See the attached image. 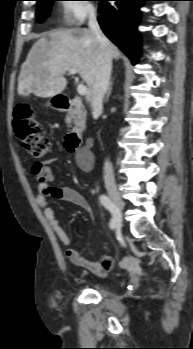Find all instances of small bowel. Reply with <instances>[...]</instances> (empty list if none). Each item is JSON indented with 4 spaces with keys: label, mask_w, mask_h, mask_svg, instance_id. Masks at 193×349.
<instances>
[{
    "label": "small bowel",
    "mask_w": 193,
    "mask_h": 349,
    "mask_svg": "<svg viewBox=\"0 0 193 349\" xmlns=\"http://www.w3.org/2000/svg\"><path fill=\"white\" fill-rule=\"evenodd\" d=\"M56 160L57 158H50L43 162L34 163L32 166V172L38 181L36 202L43 209L46 220L58 238L65 245H69L71 242L70 237L62 227L60 220L56 217L54 210L49 206V198L53 197L74 204L85 211L89 210V204L85 197L76 189L71 187H55L52 185L54 175L50 165ZM77 163L82 170L88 172L93 168L94 157L91 152L81 153L77 157ZM66 254L75 266L88 270L101 278H105L114 266V261L109 256H101L98 261L93 262L85 258L75 248L68 249Z\"/></svg>",
    "instance_id": "c3829d8e"
}]
</instances>
